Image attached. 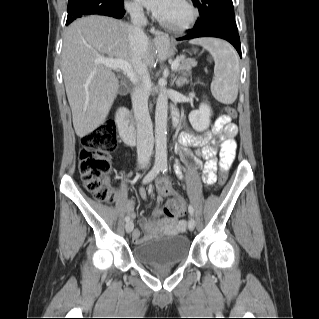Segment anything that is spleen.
<instances>
[{"instance_id":"3e777b00","label":"spleen","mask_w":319,"mask_h":319,"mask_svg":"<svg viewBox=\"0 0 319 319\" xmlns=\"http://www.w3.org/2000/svg\"><path fill=\"white\" fill-rule=\"evenodd\" d=\"M210 52L215 61V77L211 83V93L223 104H232L238 95L239 61L233 47L225 41L203 38L191 41Z\"/></svg>"}]
</instances>
